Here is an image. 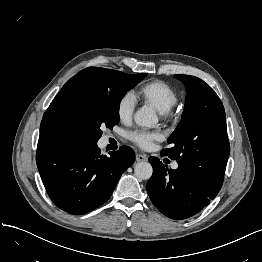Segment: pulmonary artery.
<instances>
[{
	"mask_svg": "<svg viewBox=\"0 0 262 262\" xmlns=\"http://www.w3.org/2000/svg\"><path fill=\"white\" fill-rule=\"evenodd\" d=\"M177 167H178V164H177V163H173V164H172V168H173V169H177Z\"/></svg>",
	"mask_w": 262,
	"mask_h": 262,
	"instance_id": "e3ab8cb5",
	"label": "pulmonary artery"
}]
</instances>
